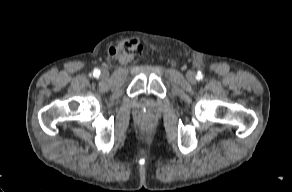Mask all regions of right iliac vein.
<instances>
[{"instance_id":"obj_1","label":"right iliac vein","mask_w":292,"mask_h":192,"mask_svg":"<svg viewBox=\"0 0 292 192\" xmlns=\"http://www.w3.org/2000/svg\"><path fill=\"white\" fill-rule=\"evenodd\" d=\"M107 76H108L107 71L104 70V71L101 72V77L102 78H106Z\"/></svg>"}]
</instances>
